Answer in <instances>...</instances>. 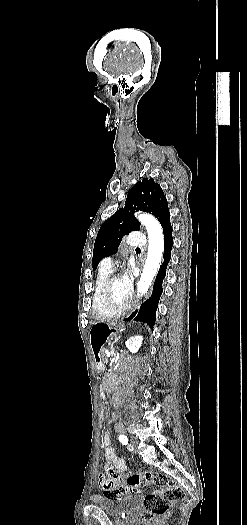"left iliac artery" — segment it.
Masks as SVG:
<instances>
[{
  "label": "left iliac artery",
  "mask_w": 247,
  "mask_h": 525,
  "mask_svg": "<svg viewBox=\"0 0 247 525\" xmlns=\"http://www.w3.org/2000/svg\"><path fill=\"white\" fill-rule=\"evenodd\" d=\"M119 441H120L123 445H127V444H128V438H127L125 435H123V434L119 435Z\"/></svg>",
  "instance_id": "44dca946"
}]
</instances>
